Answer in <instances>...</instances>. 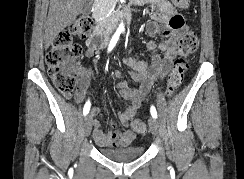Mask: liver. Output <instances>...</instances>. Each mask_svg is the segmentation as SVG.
Here are the masks:
<instances>
[{"instance_id": "liver-1", "label": "liver", "mask_w": 244, "mask_h": 179, "mask_svg": "<svg viewBox=\"0 0 244 179\" xmlns=\"http://www.w3.org/2000/svg\"><path fill=\"white\" fill-rule=\"evenodd\" d=\"M83 2L84 0H50L45 30V48H49L59 32L73 24L77 16L81 14Z\"/></svg>"}]
</instances>
